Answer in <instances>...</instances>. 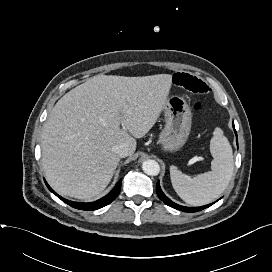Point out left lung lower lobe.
<instances>
[{"mask_svg":"<svg viewBox=\"0 0 272 272\" xmlns=\"http://www.w3.org/2000/svg\"><path fill=\"white\" fill-rule=\"evenodd\" d=\"M233 127H234V123H233ZM234 131H235V128H234ZM236 133V131H235ZM156 191H157V195L159 196V198L168 206L172 207V208H175V209H178V210H181V211H184V212H197V211H200V210H203L209 206H211L212 204H208V205H205V206H202V207H184V206H181V205H178L174 202H172L168 197H166L164 195V193L162 192L161 188H160V185H159V181L157 182V185H156Z\"/></svg>","mask_w":272,"mask_h":272,"instance_id":"left-lung-lower-lobe-1","label":"left lung lower lobe"}]
</instances>
